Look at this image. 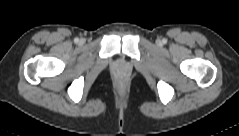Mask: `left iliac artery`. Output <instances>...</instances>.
<instances>
[{"instance_id": "44dca946", "label": "left iliac artery", "mask_w": 239, "mask_h": 136, "mask_svg": "<svg viewBox=\"0 0 239 136\" xmlns=\"http://www.w3.org/2000/svg\"><path fill=\"white\" fill-rule=\"evenodd\" d=\"M162 42H163V44H166V43H167V39L164 38V39L162 40Z\"/></svg>"}]
</instances>
